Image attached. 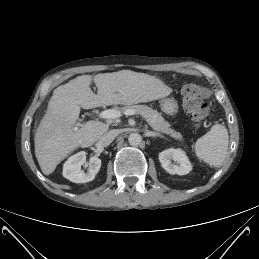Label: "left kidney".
I'll return each mask as SVG.
<instances>
[{
  "mask_svg": "<svg viewBox=\"0 0 259 259\" xmlns=\"http://www.w3.org/2000/svg\"><path fill=\"white\" fill-rule=\"evenodd\" d=\"M159 161L169 174L186 175L192 170L191 163L182 149L169 148L162 151Z\"/></svg>",
  "mask_w": 259,
  "mask_h": 259,
  "instance_id": "5707ae66",
  "label": "left kidney"
}]
</instances>
